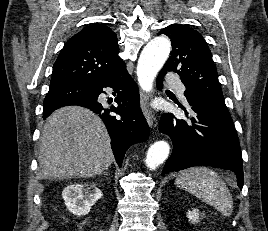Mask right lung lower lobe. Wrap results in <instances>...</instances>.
<instances>
[{"instance_id": "98d812e1", "label": "right lung lower lobe", "mask_w": 268, "mask_h": 231, "mask_svg": "<svg viewBox=\"0 0 268 231\" xmlns=\"http://www.w3.org/2000/svg\"><path fill=\"white\" fill-rule=\"evenodd\" d=\"M104 87L113 88L117 93V106H109L98 101V96L104 93ZM89 88L90 95L86 98L71 100L49 109L44 108L43 118L46 119L54 110L67 105H79L90 109L105 123L111 137L115 159L121 166L126 150L132 144L144 142L149 137V127L139 106L138 88L128 74L125 64ZM113 113L119 114L121 118Z\"/></svg>"}]
</instances>
